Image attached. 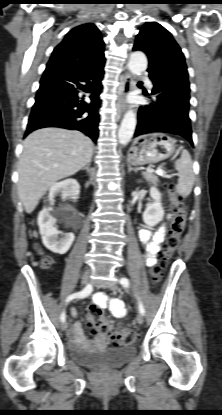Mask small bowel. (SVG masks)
Segmentation results:
<instances>
[{"label": "small bowel", "mask_w": 222, "mask_h": 415, "mask_svg": "<svg viewBox=\"0 0 222 415\" xmlns=\"http://www.w3.org/2000/svg\"><path fill=\"white\" fill-rule=\"evenodd\" d=\"M170 216V215H169ZM166 230L162 225L156 232H152L148 228H143L139 232L140 241L145 245V261L147 265H153L156 261V255L160 249V244L164 241ZM94 302L102 308H108L112 315L116 318H124L127 315V309L124 303L117 298H109L104 293H96L94 295ZM73 316H76L75 310L72 311ZM73 336L71 344L73 346H80L84 348L103 349L106 345V337L103 334H98L94 340H88L82 330V325L78 320L72 324Z\"/></svg>", "instance_id": "1"}]
</instances>
